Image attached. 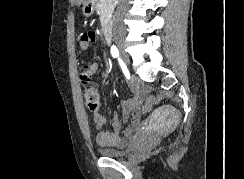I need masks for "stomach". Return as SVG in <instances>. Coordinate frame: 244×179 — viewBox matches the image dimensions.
Returning <instances> with one entry per match:
<instances>
[{
    "instance_id": "0dacf381",
    "label": "stomach",
    "mask_w": 244,
    "mask_h": 179,
    "mask_svg": "<svg viewBox=\"0 0 244 179\" xmlns=\"http://www.w3.org/2000/svg\"><path fill=\"white\" fill-rule=\"evenodd\" d=\"M82 12L84 16H92L95 12V0H87V2H84Z\"/></svg>"
}]
</instances>
